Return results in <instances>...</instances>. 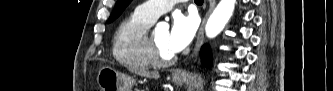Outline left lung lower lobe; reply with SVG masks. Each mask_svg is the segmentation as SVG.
<instances>
[{
    "label": "left lung lower lobe",
    "mask_w": 333,
    "mask_h": 91,
    "mask_svg": "<svg viewBox=\"0 0 333 91\" xmlns=\"http://www.w3.org/2000/svg\"><path fill=\"white\" fill-rule=\"evenodd\" d=\"M200 57L202 59V63L206 67L211 66V51H210L209 46L205 45V46L202 47V49L200 51Z\"/></svg>",
    "instance_id": "obj_1"
}]
</instances>
